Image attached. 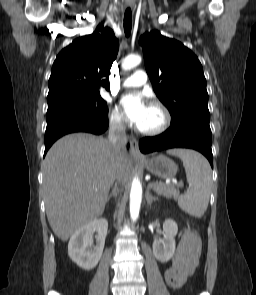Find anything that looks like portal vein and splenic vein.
<instances>
[{"mask_svg": "<svg viewBox=\"0 0 256 295\" xmlns=\"http://www.w3.org/2000/svg\"><path fill=\"white\" fill-rule=\"evenodd\" d=\"M178 187H183V183L179 182V183H175ZM149 186V185H148Z\"/></svg>", "mask_w": 256, "mask_h": 295, "instance_id": "obj_1", "label": "portal vein and splenic vein"}]
</instances>
